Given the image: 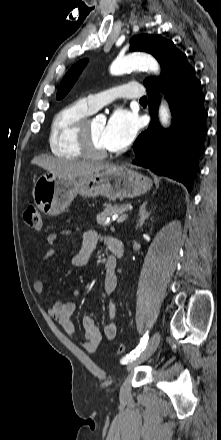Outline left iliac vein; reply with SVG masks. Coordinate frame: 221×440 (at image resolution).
<instances>
[{"label": "left iliac vein", "mask_w": 221, "mask_h": 440, "mask_svg": "<svg viewBox=\"0 0 221 440\" xmlns=\"http://www.w3.org/2000/svg\"><path fill=\"white\" fill-rule=\"evenodd\" d=\"M159 342H160V333L157 331L153 334L147 346L140 353V355L132 362H129L127 369L132 370L135 366L147 360L155 352V350L159 345Z\"/></svg>", "instance_id": "1"}]
</instances>
